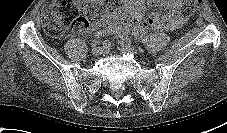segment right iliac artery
I'll return each mask as SVG.
<instances>
[{
	"mask_svg": "<svg viewBox=\"0 0 227 133\" xmlns=\"http://www.w3.org/2000/svg\"><path fill=\"white\" fill-rule=\"evenodd\" d=\"M109 46H110V43H109L108 41H105V42L103 43V47H104L105 49H107Z\"/></svg>",
	"mask_w": 227,
	"mask_h": 133,
	"instance_id": "right-iliac-artery-1",
	"label": "right iliac artery"
}]
</instances>
